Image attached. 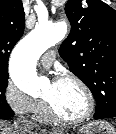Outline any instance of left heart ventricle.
<instances>
[{"instance_id": "left-heart-ventricle-1", "label": "left heart ventricle", "mask_w": 116, "mask_h": 134, "mask_svg": "<svg viewBox=\"0 0 116 134\" xmlns=\"http://www.w3.org/2000/svg\"><path fill=\"white\" fill-rule=\"evenodd\" d=\"M62 116L78 118L87 108V100L83 90L74 82L58 81L50 83L43 94Z\"/></svg>"}]
</instances>
